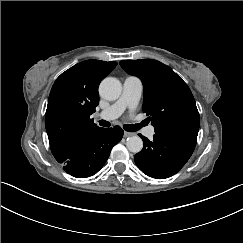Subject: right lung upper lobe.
<instances>
[{"mask_svg":"<svg viewBox=\"0 0 243 243\" xmlns=\"http://www.w3.org/2000/svg\"><path fill=\"white\" fill-rule=\"evenodd\" d=\"M116 62L86 60L63 72L52 86L45 117L50 148L62 163L64 155L99 127L90 115L99 103L98 86Z\"/></svg>","mask_w":243,"mask_h":243,"instance_id":"1","label":"right lung upper lobe"}]
</instances>
